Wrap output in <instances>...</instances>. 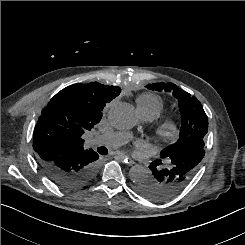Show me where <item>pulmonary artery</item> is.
<instances>
[{
	"label": "pulmonary artery",
	"instance_id": "1",
	"mask_svg": "<svg viewBox=\"0 0 245 245\" xmlns=\"http://www.w3.org/2000/svg\"><path fill=\"white\" fill-rule=\"evenodd\" d=\"M145 121H152L154 118L150 115H141ZM129 139L126 132H113L110 134L100 135L91 139L92 143L102 144L107 147H118L125 144Z\"/></svg>",
	"mask_w": 245,
	"mask_h": 245
}]
</instances>
